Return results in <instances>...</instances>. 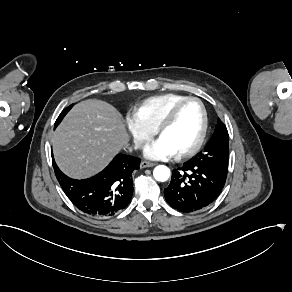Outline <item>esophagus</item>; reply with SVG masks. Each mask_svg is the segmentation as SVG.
I'll use <instances>...</instances> for the list:
<instances>
[{"label": "esophagus", "instance_id": "34e87169", "mask_svg": "<svg viewBox=\"0 0 292 292\" xmlns=\"http://www.w3.org/2000/svg\"><path fill=\"white\" fill-rule=\"evenodd\" d=\"M156 163H152V162H149V161H143L141 164H140V168H147V167H153L155 166Z\"/></svg>", "mask_w": 292, "mask_h": 292}]
</instances>
